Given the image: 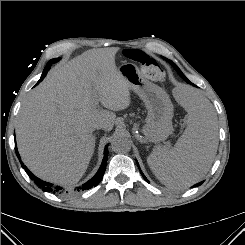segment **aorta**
Segmentation results:
<instances>
[{"instance_id":"aorta-1","label":"aorta","mask_w":245,"mask_h":245,"mask_svg":"<svg viewBox=\"0 0 245 245\" xmlns=\"http://www.w3.org/2000/svg\"><path fill=\"white\" fill-rule=\"evenodd\" d=\"M111 148L116 153H127L131 149V143L127 137L117 135L111 142Z\"/></svg>"}]
</instances>
